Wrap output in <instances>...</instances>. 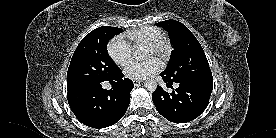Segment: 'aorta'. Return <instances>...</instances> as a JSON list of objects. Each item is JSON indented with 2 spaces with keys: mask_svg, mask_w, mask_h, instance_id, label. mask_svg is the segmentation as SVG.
<instances>
[{
  "mask_svg": "<svg viewBox=\"0 0 276 138\" xmlns=\"http://www.w3.org/2000/svg\"><path fill=\"white\" fill-rule=\"evenodd\" d=\"M133 56L136 59H140L144 57V54H142L140 50H136L133 52ZM144 87L146 88V90L154 92L157 89V82L154 79H148L145 81Z\"/></svg>",
  "mask_w": 276,
  "mask_h": 138,
  "instance_id": "1",
  "label": "aorta"
}]
</instances>
